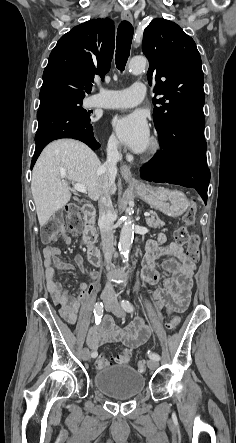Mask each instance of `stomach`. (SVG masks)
I'll return each instance as SVG.
<instances>
[{"label": "stomach", "instance_id": "obj_1", "mask_svg": "<svg viewBox=\"0 0 236 443\" xmlns=\"http://www.w3.org/2000/svg\"><path fill=\"white\" fill-rule=\"evenodd\" d=\"M134 192L152 208L170 217L181 216L188 208L186 196L178 190L143 185L135 188Z\"/></svg>", "mask_w": 236, "mask_h": 443}]
</instances>
